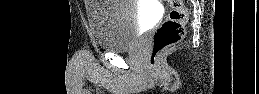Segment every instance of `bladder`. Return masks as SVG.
I'll use <instances>...</instances> for the list:
<instances>
[{
	"label": "bladder",
	"mask_w": 259,
	"mask_h": 94,
	"mask_svg": "<svg viewBox=\"0 0 259 94\" xmlns=\"http://www.w3.org/2000/svg\"><path fill=\"white\" fill-rule=\"evenodd\" d=\"M87 18L98 47L109 52L133 48L143 26L141 11L133 0L88 1Z\"/></svg>",
	"instance_id": "obj_1"
}]
</instances>
